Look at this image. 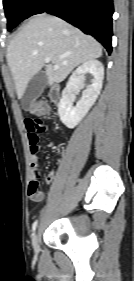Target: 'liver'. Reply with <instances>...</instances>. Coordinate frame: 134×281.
Here are the masks:
<instances>
[{"label": "liver", "instance_id": "obj_1", "mask_svg": "<svg viewBox=\"0 0 134 281\" xmlns=\"http://www.w3.org/2000/svg\"><path fill=\"white\" fill-rule=\"evenodd\" d=\"M101 56L102 47L93 37L47 14L33 16L11 40L6 55L19 99L46 57L50 63L45 72L52 85L63 81L79 64Z\"/></svg>", "mask_w": 134, "mask_h": 281}]
</instances>
